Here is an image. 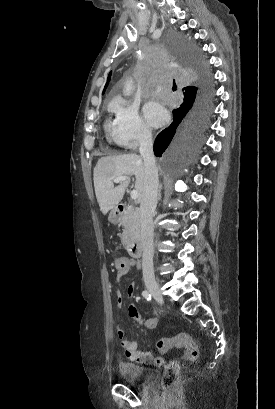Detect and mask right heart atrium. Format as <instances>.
Segmentation results:
<instances>
[{
  "instance_id": "1",
  "label": "right heart atrium",
  "mask_w": 275,
  "mask_h": 409,
  "mask_svg": "<svg viewBox=\"0 0 275 409\" xmlns=\"http://www.w3.org/2000/svg\"><path fill=\"white\" fill-rule=\"evenodd\" d=\"M115 125L125 152L136 149L149 142L153 135L151 124L139 113L137 108L118 101L114 106Z\"/></svg>"
}]
</instances>
